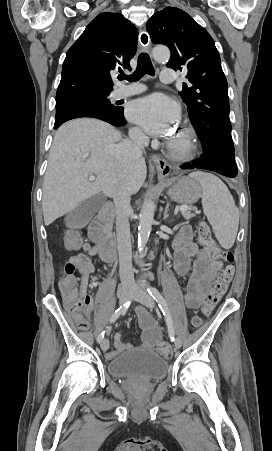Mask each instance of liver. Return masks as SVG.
<instances>
[{
    "instance_id": "1",
    "label": "liver",
    "mask_w": 272,
    "mask_h": 451,
    "mask_svg": "<svg viewBox=\"0 0 272 451\" xmlns=\"http://www.w3.org/2000/svg\"><path fill=\"white\" fill-rule=\"evenodd\" d=\"M120 140L118 130L93 118L71 120L57 130L43 182L45 226L99 192L113 198L122 172L115 160ZM90 174L96 176L93 182ZM146 174L144 158H137L123 178L129 196L139 192Z\"/></svg>"
}]
</instances>
